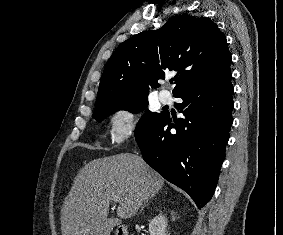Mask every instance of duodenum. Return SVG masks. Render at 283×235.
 <instances>
[{"mask_svg":"<svg viewBox=\"0 0 283 235\" xmlns=\"http://www.w3.org/2000/svg\"><path fill=\"white\" fill-rule=\"evenodd\" d=\"M117 235H128V231L126 229V227H119L117 230Z\"/></svg>","mask_w":283,"mask_h":235,"instance_id":"obj_1","label":"duodenum"}]
</instances>
